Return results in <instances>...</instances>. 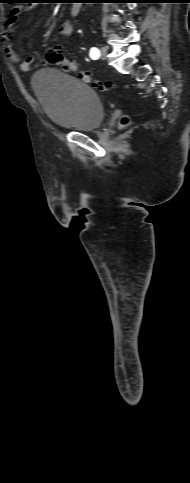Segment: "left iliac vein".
<instances>
[{
  "label": "left iliac vein",
  "instance_id": "1",
  "mask_svg": "<svg viewBox=\"0 0 190 483\" xmlns=\"http://www.w3.org/2000/svg\"><path fill=\"white\" fill-rule=\"evenodd\" d=\"M100 58L102 60H106L107 59V49L105 47H102L100 49Z\"/></svg>",
  "mask_w": 190,
  "mask_h": 483
}]
</instances>
